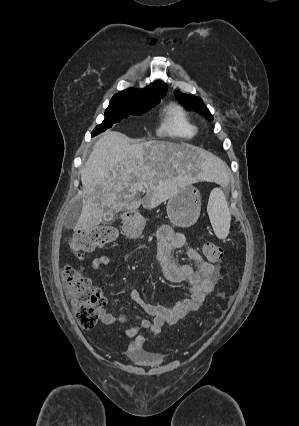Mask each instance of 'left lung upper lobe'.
<instances>
[{
    "mask_svg": "<svg viewBox=\"0 0 299 426\" xmlns=\"http://www.w3.org/2000/svg\"><path fill=\"white\" fill-rule=\"evenodd\" d=\"M175 96L178 100H180V102L184 106L188 107L189 109L195 110L196 112L202 114L209 120L213 119V116L199 97L182 94L180 92H175Z\"/></svg>",
    "mask_w": 299,
    "mask_h": 426,
    "instance_id": "obj_1",
    "label": "left lung upper lobe"
}]
</instances>
